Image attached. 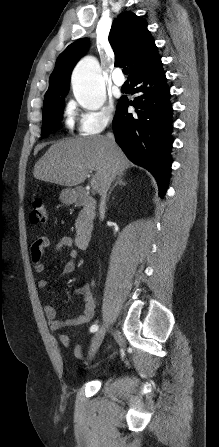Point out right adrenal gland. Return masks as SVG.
Listing matches in <instances>:
<instances>
[{"label":"right adrenal gland","mask_w":219,"mask_h":447,"mask_svg":"<svg viewBox=\"0 0 219 447\" xmlns=\"http://www.w3.org/2000/svg\"><path fill=\"white\" fill-rule=\"evenodd\" d=\"M127 183L124 181V175L123 174H119L116 178L115 184L111 187L109 193H108V198L107 200H109L110 194L113 191V189L117 186V185H123L125 186Z\"/></svg>","instance_id":"right-adrenal-gland-1"}]
</instances>
